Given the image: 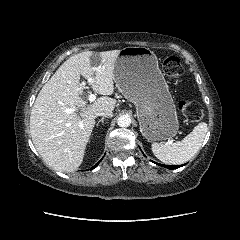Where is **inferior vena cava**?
I'll return each mask as SVG.
<instances>
[{
  "mask_svg": "<svg viewBox=\"0 0 240 240\" xmlns=\"http://www.w3.org/2000/svg\"><path fill=\"white\" fill-rule=\"evenodd\" d=\"M96 117L98 116H106V117H112L113 113L112 111H100L95 114Z\"/></svg>",
  "mask_w": 240,
  "mask_h": 240,
  "instance_id": "1",
  "label": "inferior vena cava"
}]
</instances>
